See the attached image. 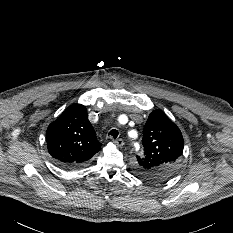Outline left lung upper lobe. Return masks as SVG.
<instances>
[{"label": "left lung upper lobe", "instance_id": "obj_1", "mask_svg": "<svg viewBox=\"0 0 233 233\" xmlns=\"http://www.w3.org/2000/svg\"><path fill=\"white\" fill-rule=\"evenodd\" d=\"M144 157L137 156V173L149 181H164L176 170L183 152L180 129L160 110H154L143 129Z\"/></svg>", "mask_w": 233, "mask_h": 233}]
</instances>
